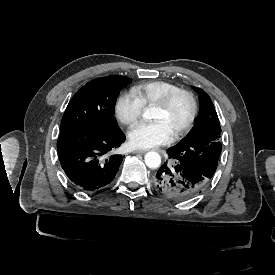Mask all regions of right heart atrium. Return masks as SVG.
<instances>
[{"mask_svg":"<svg viewBox=\"0 0 275 275\" xmlns=\"http://www.w3.org/2000/svg\"><path fill=\"white\" fill-rule=\"evenodd\" d=\"M144 107L134 92H126L117 99L115 112L122 124L132 126L140 118Z\"/></svg>","mask_w":275,"mask_h":275,"instance_id":"obj_1","label":"right heart atrium"}]
</instances>
